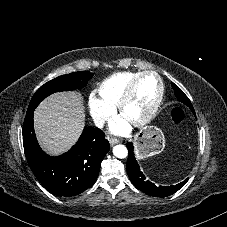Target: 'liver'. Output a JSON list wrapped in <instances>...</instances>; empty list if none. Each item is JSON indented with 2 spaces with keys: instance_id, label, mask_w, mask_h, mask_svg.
I'll use <instances>...</instances> for the list:
<instances>
[{
  "instance_id": "6515ba94",
  "label": "liver",
  "mask_w": 227,
  "mask_h": 227,
  "mask_svg": "<svg viewBox=\"0 0 227 227\" xmlns=\"http://www.w3.org/2000/svg\"><path fill=\"white\" fill-rule=\"evenodd\" d=\"M85 124V109L80 95L55 93L40 103L34 125L41 147L50 155L68 151L78 140Z\"/></svg>"
}]
</instances>
